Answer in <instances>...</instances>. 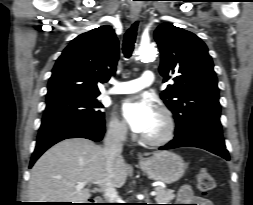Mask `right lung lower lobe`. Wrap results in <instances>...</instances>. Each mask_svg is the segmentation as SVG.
<instances>
[{
	"label": "right lung lower lobe",
	"instance_id": "right-lung-lower-lobe-1",
	"mask_svg": "<svg viewBox=\"0 0 253 205\" xmlns=\"http://www.w3.org/2000/svg\"><path fill=\"white\" fill-rule=\"evenodd\" d=\"M105 132V122L87 121L73 118L42 119L37 137L35 151L32 155L30 168L35 161L52 145L67 138H87L100 141Z\"/></svg>",
	"mask_w": 253,
	"mask_h": 205
}]
</instances>
